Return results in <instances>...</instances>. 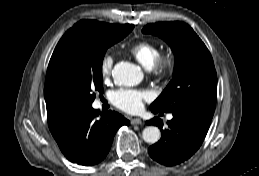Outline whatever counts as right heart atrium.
<instances>
[{
    "label": "right heart atrium",
    "mask_w": 259,
    "mask_h": 176,
    "mask_svg": "<svg viewBox=\"0 0 259 176\" xmlns=\"http://www.w3.org/2000/svg\"><path fill=\"white\" fill-rule=\"evenodd\" d=\"M114 58L110 54H105L100 63V74L104 80H107L113 70Z\"/></svg>",
    "instance_id": "d8ad5b80"
}]
</instances>
